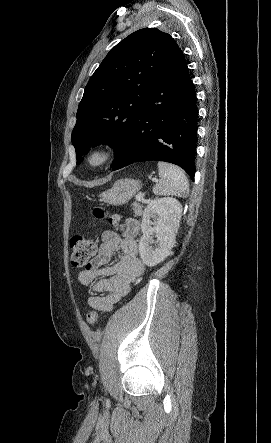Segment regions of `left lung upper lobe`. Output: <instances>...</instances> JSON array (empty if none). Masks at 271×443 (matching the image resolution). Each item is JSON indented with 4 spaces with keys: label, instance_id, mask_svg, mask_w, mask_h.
Wrapping results in <instances>:
<instances>
[{
    "label": "left lung upper lobe",
    "instance_id": "1",
    "mask_svg": "<svg viewBox=\"0 0 271 443\" xmlns=\"http://www.w3.org/2000/svg\"><path fill=\"white\" fill-rule=\"evenodd\" d=\"M172 37L155 28L140 29L117 44L85 87L71 141L77 164L91 146L108 144L117 161L145 109L147 89L178 49Z\"/></svg>",
    "mask_w": 271,
    "mask_h": 443
}]
</instances>
